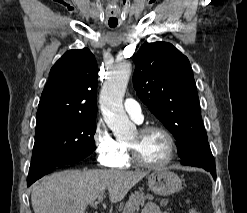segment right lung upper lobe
Listing matches in <instances>:
<instances>
[{
	"mask_svg": "<svg viewBox=\"0 0 247 213\" xmlns=\"http://www.w3.org/2000/svg\"><path fill=\"white\" fill-rule=\"evenodd\" d=\"M97 62L89 49L67 51L51 68L37 117H96Z\"/></svg>",
	"mask_w": 247,
	"mask_h": 213,
	"instance_id": "obj_1",
	"label": "right lung upper lobe"
}]
</instances>
